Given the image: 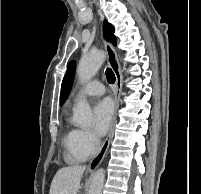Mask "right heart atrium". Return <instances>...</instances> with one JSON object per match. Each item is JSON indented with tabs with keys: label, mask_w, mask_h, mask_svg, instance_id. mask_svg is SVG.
<instances>
[{
	"label": "right heart atrium",
	"mask_w": 201,
	"mask_h": 194,
	"mask_svg": "<svg viewBox=\"0 0 201 194\" xmlns=\"http://www.w3.org/2000/svg\"><path fill=\"white\" fill-rule=\"evenodd\" d=\"M77 146L87 153H93L99 144L97 136L90 130L80 129L77 132Z\"/></svg>",
	"instance_id": "1"
}]
</instances>
